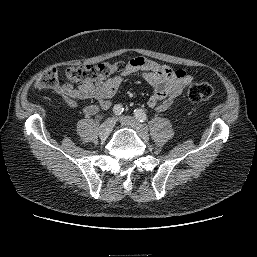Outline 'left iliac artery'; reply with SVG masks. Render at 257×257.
<instances>
[{"label": "left iliac artery", "mask_w": 257, "mask_h": 257, "mask_svg": "<svg viewBox=\"0 0 257 257\" xmlns=\"http://www.w3.org/2000/svg\"><path fill=\"white\" fill-rule=\"evenodd\" d=\"M134 115L140 122H145L147 119L145 112L141 109H135Z\"/></svg>", "instance_id": "obj_1"}]
</instances>
